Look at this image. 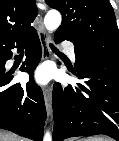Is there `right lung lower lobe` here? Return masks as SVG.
Listing matches in <instances>:
<instances>
[{
  "label": "right lung lower lobe",
  "mask_w": 119,
  "mask_h": 141,
  "mask_svg": "<svg viewBox=\"0 0 119 141\" xmlns=\"http://www.w3.org/2000/svg\"><path fill=\"white\" fill-rule=\"evenodd\" d=\"M25 47L27 57L20 70L29 73L30 81L25 89L20 83L7 87L13 79L5 72V63L12 57L11 49L18 48L19 52ZM40 59L41 44L35 29L23 40L0 50V128L35 141L42 140L46 119L42 90L33 79Z\"/></svg>",
  "instance_id": "right-lung-lower-lobe-1"
}]
</instances>
